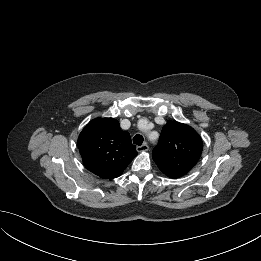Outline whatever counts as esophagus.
I'll use <instances>...</instances> for the list:
<instances>
[{"label": "esophagus", "mask_w": 261, "mask_h": 261, "mask_svg": "<svg viewBox=\"0 0 261 261\" xmlns=\"http://www.w3.org/2000/svg\"><path fill=\"white\" fill-rule=\"evenodd\" d=\"M136 149H137L138 152H145V151L149 150V146L146 143H144L140 146H137Z\"/></svg>", "instance_id": "obj_1"}]
</instances>
